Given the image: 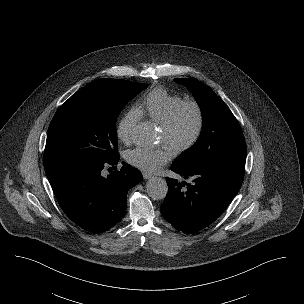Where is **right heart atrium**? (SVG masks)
Returning <instances> with one entry per match:
<instances>
[{"mask_svg": "<svg viewBox=\"0 0 304 304\" xmlns=\"http://www.w3.org/2000/svg\"><path fill=\"white\" fill-rule=\"evenodd\" d=\"M140 119V114L133 108L125 112L119 119L116 132L117 137L125 144L132 141L133 131Z\"/></svg>", "mask_w": 304, "mask_h": 304, "instance_id": "d8ad5b80", "label": "right heart atrium"}]
</instances>
